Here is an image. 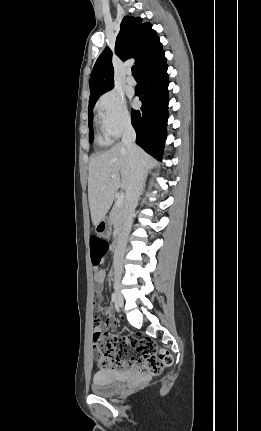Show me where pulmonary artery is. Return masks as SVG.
Here are the masks:
<instances>
[{
    "mask_svg": "<svg viewBox=\"0 0 261 431\" xmlns=\"http://www.w3.org/2000/svg\"><path fill=\"white\" fill-rule=\"evenodd\" d=\"M126 81L129 85H135L136 81H135L134 77L131 75V71L128 72V76H127Z\"/></svg>",
    "mask_w": 261,
    "mask_h": 431,
    "instance_id": "obj_1",
    "label": "pulmonary artery"
}]
</instances>
